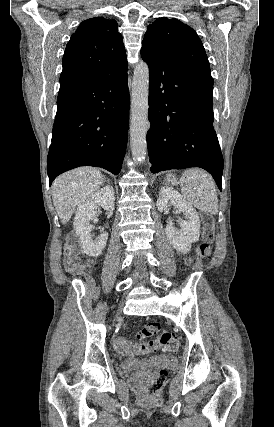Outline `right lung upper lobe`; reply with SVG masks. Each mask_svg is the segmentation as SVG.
I'll list each match as a JSON object with an SVG mask.
<instances>
[{"label": "right lung upper lobe", "mask_w": 274, "mask_h": 427, "mask_svg": "<svg viewBox=\"0 0 274 427\" xmlns=\"http://www.w3.org/2000/svg\"><path fill=\"white\" fill-rule=\"evenodd\" d=\"M125 64L117 22L104 17L87 19L72 34L65 49L58 95L95 82Z\"/></svg>", "instance_id": "cb5924a9"}]
</instances>
